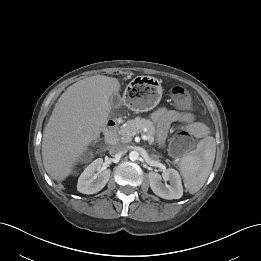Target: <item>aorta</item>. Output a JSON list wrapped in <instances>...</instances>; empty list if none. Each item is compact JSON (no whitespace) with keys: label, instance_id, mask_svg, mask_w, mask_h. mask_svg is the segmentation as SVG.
<instances>
[{"label":"aorta","instance_id":"762f6f07","mask_svg":"<svg viewBox=\"0 0 261 261\" xmlns=\"http://www.w3.org/2000/svg\"><path fill=\"white\" fill-rule=\"evenodd\" d=\"M129 159H130L131 161H136V160H138V159H139V153H138L137 151H131V152L129 153Z\"/></svg>","mask_w":261,"mask_h":261}]
</instances>
